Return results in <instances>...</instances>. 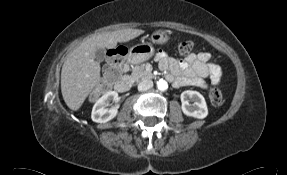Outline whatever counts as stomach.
I'll list each match as a JSON object with an SVG mask.
<instances>
[{
  "label": "stomach",
  "mask_w": 287,
  "mask_h": 175,
  "mask_svg": "<svg viewBox=\"0 0 287 175\" xmlns=\"http://www.w3.org/2000/svg\"><path fill=\"white\" fill-rule=\"evenodd\" d=\"M153 43L163 44L168 41V32L163 29L156 30L150 37ZM154 54V48L151 43H141L130 48L128 52V61L132 64H138L150 59Z\"/></svg>",
  "instance_id": "1"
}]
</instances>
